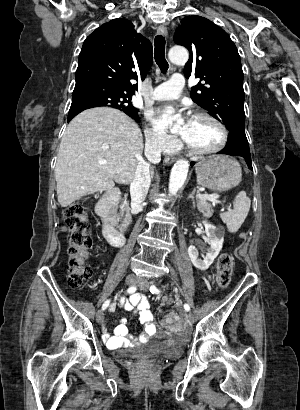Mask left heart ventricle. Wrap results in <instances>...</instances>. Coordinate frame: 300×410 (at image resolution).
Returning <instances> with one entry per match:
<instances>
[{"label":"left heart ventricle","instance_id":"left-heart-ventricle-1","mask_svg":"<svg viewBox=\"0 0 300 410\" xmlns=\"http://www.w3.org/2000/svg\"><path fill=\"white\" fill-rule=\"evenodd\" d=\"M184 132L183 126L181 134ZM184 140L198 149L208 150L221 142L222 133L215 123L207 119L194 118L185 133Z\"/></svg>","mask_w":300,"mask_h":410}]
</instances>
